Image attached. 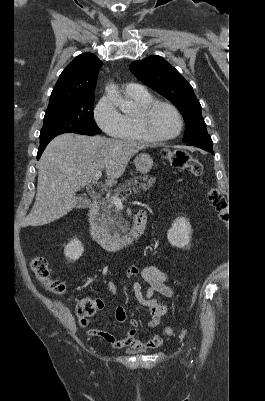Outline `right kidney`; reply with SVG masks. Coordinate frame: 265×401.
Instances as JSON below:
<instances>
[{
	"label": "right kidney",
	"mask_w": 265,
	"mask_h": 401,
	"mask_svg": "<svg viewBox=\"0 0 265 401\" xmlns=\"http://www.w3.org/2000/svg\"><path fill=\"white\" fill-rule=\"evenodd\" d=\"M84 251V247L78 239H72L68 245H66L64 249V255L68 261H77L80 259L82 253Z\"/></svg>",
	"instance_id": "1"
}]
</instances>
